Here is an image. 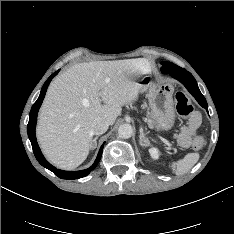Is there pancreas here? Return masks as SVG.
<instances>
[{
  "mask_svg": "<svg viewBox=\"0 0 234 234\" xmlns=\"http://www.w3.org/2000/svg\"><path fill=\"white\" fill-rule=\"evenodd\" d=\"M148 125H149L150 128H156V129H158L151 119L148 120Z\"/></svg>",
  "mask_w": 234,
  "mask_h": 234,
  "instance_id": "1",
  "label": "pancreas"
}]
</instances>
